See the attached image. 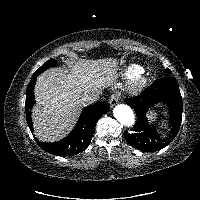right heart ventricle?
Segmentation results:
<instances>
[{"label": "right heart ventricle", "instance_id": "e07e8e85", "mask_svg": "<svg viewBox=\"0 0 200 200\" xmlns=\"http://www.w3.org/2000/svg\"><path fill=\"white\" fill-rule=\"evenodd\" d=\"M143 72V68L138 64H128L120 72V76L124 79H131L132 77Z\"/></svg>", "mask_w": 200, "mask_h": 200}]
</instances>
